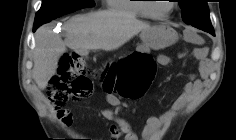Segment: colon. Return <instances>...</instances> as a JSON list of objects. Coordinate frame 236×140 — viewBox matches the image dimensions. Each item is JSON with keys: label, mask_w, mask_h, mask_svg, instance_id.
<instances>
[{"label": "colon", "mask_w": 236, "mask_h": 140, "mask_svg": "<svg viewBox=\"0 0 236 140\" xmlns=\"http://www.w3.org/2000/svg\"><path fill=\"white\" fill-rule=\"evenodd\" d=\"M155 63L148 56H128L112 64L105 74L110 90L125 98L142 97L155 75ZM92 71L77 54H65L47 86L46 93L56 108L69 100H83L92 91Z\"/></svg>", "instance_id": "colon-1"}]
</instances>
